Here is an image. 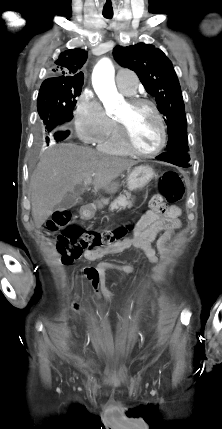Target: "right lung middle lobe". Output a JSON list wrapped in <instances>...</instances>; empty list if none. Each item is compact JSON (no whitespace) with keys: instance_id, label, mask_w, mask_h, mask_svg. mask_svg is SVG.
Returning <instances> with one entry per match:
<instances>
[{"instance_id":"dd1d6c3e","label":"right lung middle lobe","mask_w":222,"mask_h":429,"mask_svg":"<svg viewBox=\"0 0 222 429\" xmlns=\"http://www.w3.org/2000/svg\"><path fill=\"white\" fill-rule=\"evenodd\" d=\"M82 84H42L37 99V109L47 134L67 127L73 118L76 98Z\"/></svg>"}]
</instances>
